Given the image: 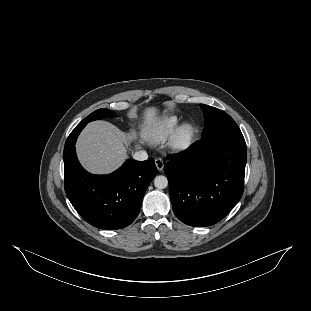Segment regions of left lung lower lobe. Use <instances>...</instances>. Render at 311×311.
I'll return each instance as SVG.
<instances>
[{
	"mask_svg": "<svg viewBox=\"0 0 311 311\" xmlns=\"http://www.w3.org/2000/svg\"><path fill=\"white\" fill-rule=\"evenodd\" d=\"M246 143L238 128L207 133L164 166L176 216L190 226L223 219L244 190Z\"/></svg>",
	"mask_w": 311,
	"mask_h": 311,
	"instance_id": "1",
	"label": "left lung lower lobe"
}]
</instances>
